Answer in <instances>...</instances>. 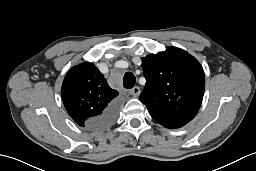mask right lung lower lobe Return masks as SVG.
<instances>
[{"mask_svg":"<svg viewBox=\"0 0 256 171\" xmlns=\"http://www.w3.org/2000/svg\"><path fill=\"white\" fill-rule=\"evenodd\" d=\"M117 102L112 103L101 115L92 120V126L95 128H106L116 119L118 113Z\"/></svg>","mask_w":256,"mask_h":171,"instance_id":"right-lung-lower-lobe-1","label":"right lung lower lobe"}]
</instances>
